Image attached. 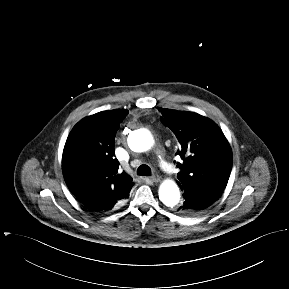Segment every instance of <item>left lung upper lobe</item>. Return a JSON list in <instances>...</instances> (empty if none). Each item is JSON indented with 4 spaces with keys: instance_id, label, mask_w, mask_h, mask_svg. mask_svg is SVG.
Instances as JSON below:
<instances>
[{
    "instance_id": "5c2ea615",
    "label": "left lung upper lobe",
    "mask_w": 289,
    "mask_h": 289,
    "mask_svg": "<svg viewBox=\"0 0 289 289\" xmlns=\"http://www.w3.org/2000/svg\"><path fill=\"white\" fill-rule=\"evenodd\" d=\"M161 120L176 135L183 163L178 184L184 192L217 200L225 189L231 169L232 151L223 132L212 120L197 113L160 108ZM177 155V153H176Z\"/></svg>"
}]
</instances>
